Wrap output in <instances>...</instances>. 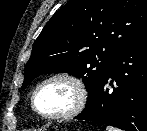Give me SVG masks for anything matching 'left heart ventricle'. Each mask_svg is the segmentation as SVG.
Listing matches in <instances>:
<instances>
[{"mask_svg":"<svg viewBox=\"0 0 147 131\" xmlns=\"http://www.w3.org/2000/svg\"><path fill=\"white\" fill-rule=\"evenodd\" d=\"M76 99L77 93L71 83L65 80H53L39 89L36 105L44 114H61L69 111Z\"/></svg>","mask_w":147,"mask_h":131,"instance_id":"1","label":"left heart ventricle"}]
</instances>
